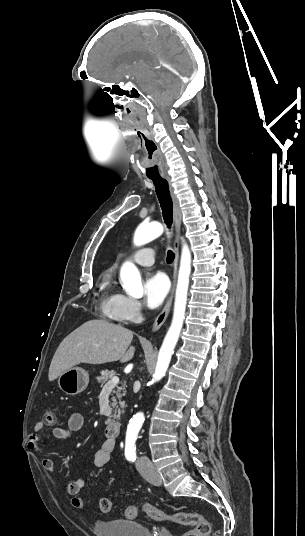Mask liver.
<instances>
[{
    "label": "liver",
    "instance_id": "liver-1",
    "mask_svg": "<svg viewBox=\"0 0 305 536\" xmlns=\"http://www.w3.org/2000/svg\"><path fill=\"white\" fill-rule=\"evenodd\" d=\"M132 340V332L122 326L105 320L85 322L64 338L57 348L49 368V382L78 364L129 362L135 352L134 346H130Z\"/></svg>",
    "mask_w": 305,
    "mask_h": 536
}]
</instances>
